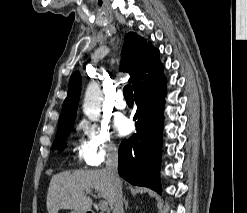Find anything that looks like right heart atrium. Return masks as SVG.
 Instances as JSON below:
<instances>
[{"label":"right heart atrium","mask_w":247,"mask_h":213,"mask_svg":"<svg viewBox=\"0 0 247 213\" xmlns=\"http://www.w3.org/2000/svg\"><path fill=\"white\" fill-rule=\"evenodd\" d=\"M79 129L83 139L77 148V157L81 162L97 167L117 155L118 148L107 125L82 122Z\"/></svg>","instance_id":"right-heart-atrium-1"}]
</instances>
